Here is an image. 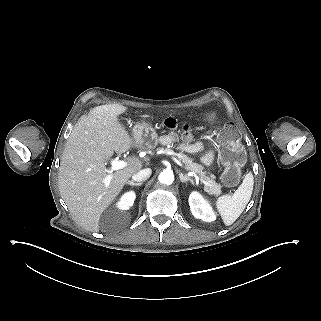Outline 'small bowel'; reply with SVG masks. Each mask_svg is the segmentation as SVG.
I'll return each instance as SVG.
<instances>
[{
  "label": "small bowel",
  "instance_id": "c3829d8e",
  "mask_svg": "<svg viewBox=\"0 0 321 321\" xmlns=\"http://www.w3.org/2000/svg\"><path fill=\"white\" fill-rule=\"evenodd\" d=\"M201 149H202V145H201L200 143H198V142L193 143V144H190V145L187 146V150H188L189 152H198V151H200ZM213 157H214L213 152H209V153L204 157V162H205L206 164L211 163L212 160H213Z\"/></svg>",
  "mask_w": 321,
  "mask_h": 321
}]
</instances>
